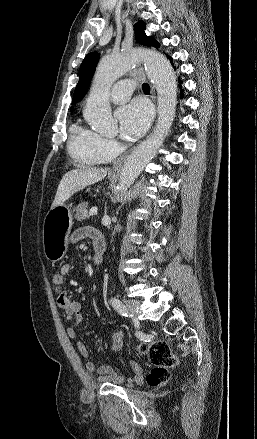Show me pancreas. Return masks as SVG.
I'll use <instances>...</instances> for the list:
<instances>
[{
    "label": "pancreas",
    "mask_w": 257,
    "mask_h": 439,
    "mask_svg": "<svg viewBox=\"0 0 257 439\" xmlns=\"http://www.w3.org/2000/svg\"><path fill=\"white\" fill-rule=\"evenodd\" d=\"M87 207H88V204L86 202L81 203L76 207V209H75L76 214L74 216L76 220L82 221V220L89 218Z\"/></svg>",
    "instance_id": "pancreas-1"
}]
</instances>
